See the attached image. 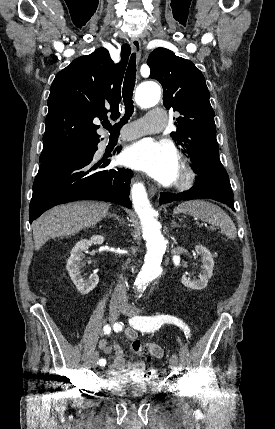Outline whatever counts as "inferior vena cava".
I'll return each instance as SVG.
<instances>
[{
    "label": "inferior vena cava",
    "mask_w": 275,
    "mask_h": 429,
    "mask_svg": "<svg viewBox=\"0 0 275 429\" xmlns=\"http://www.w3.org/2000/svg\"><path fill=\"white\" fill-rule=\"evenodd\" d=\"M112 303H119L121 305H126L127 297H126V287L123 282H119L112 294L111 298Z\"/></svg>",
    "instance_id": "602c4592"
}]
</instances>
